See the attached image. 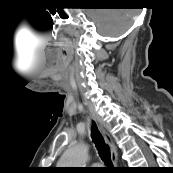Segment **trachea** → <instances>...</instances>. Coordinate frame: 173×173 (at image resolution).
I'll return each instance as SVG.
<instances>
[{"mask_svg":"<svg viewBox=\"0 0 173 173\" xmlns=\"http://www.w3.org/2000/svg\"><path fill=\"white\" fill-rule=\"evenodd\" d=\"M91 137L98 150L101 160L109 167H113L111 161L110 147L108 144L105 143L102 134L100 133L94 122L92 123Z\"/></svg>","mask_w":173,"mask_h":173,"instance_id":"3493384b","label":"trachea"}]
</instances>
